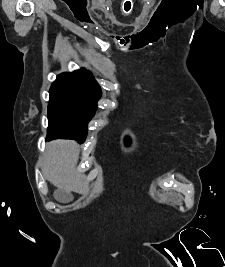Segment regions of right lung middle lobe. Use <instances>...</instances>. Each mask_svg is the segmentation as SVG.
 Returning <instances> with one entry per match:
<instances>
[{"mask_svg": "<svg viewBox=\"0 0 225 267\" xmlns=\"http://www.w3.org/2000/svg\"><path fill=\"white\" fill-rule=\"evenodd\" d=\"M48 102V140L75 139L83 143L87 123L95 115L96 103L79 91L62 86H51Z\"/></svg>", "mask_w": 225, "mask_h": 267, "instance_id": "obj_1", "label": "right lung middle lobe"}]
</instances>
